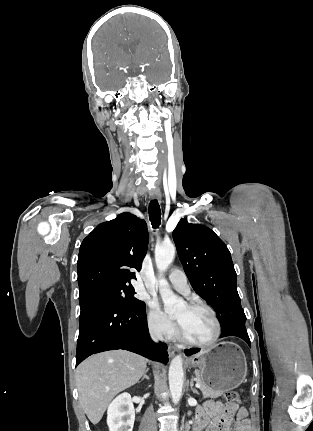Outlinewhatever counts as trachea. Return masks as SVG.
<instances>
[{"instance_id": "trachea-1", "label": "trachea", "mask_w": 313, "mask_h": 431, "mask_svg": "<svg viewBox=\"0 0 313 431\" xmlns=\"http://www.w3.org/2000/svg\"><path fill=\"white\" fill-rule=\"evenodd\" d=\"M148 211L153 228H158L161 223V210L156 199L150 201Z\"/></svg>"}]
</instances>
